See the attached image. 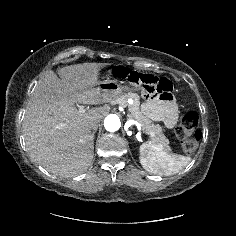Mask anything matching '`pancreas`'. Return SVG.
Here are the masks:
<instances>
[{
    "label": "pancreas",
    "mask_w": 236,
    "mask_h": 236,
    "mask_svg": "<svg viewBox=\"0 0 236 236\" xmlns=\"http://www.w3.org/2000/svg\"><path fill=\"white\" fill-rule=\"evenodd\" d=\"M129 98H132L134 103L132 105L127 104V100ZM119 102L122 106H128L129 107V114L128 117L130 119L136 120L141 128L145 130L147 134L151 137L152 141L155 144L161 145L163 148H165L167 151H171V148L169 146V140L166 138V136L162 133V128L160 125H155L147 119L140 111L139 108V97L135 93H126L118 97Z\"/></svg>",
    "instance_id": "pancreas-1"
}]
</instances>
